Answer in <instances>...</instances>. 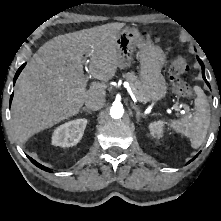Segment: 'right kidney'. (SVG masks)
Returning <instances> with one entry per match:
<instances>
[{
	"label": "right kidney",
	"instance_id": "right-kidney-1",
	"mask_svg": "<svg viewBox=\"0 0 221 221\" xmlns=\"http://www.w3.org/2000/svg\"><path fill=\"white\" fill-rule=\"evenodd\" d=\"M87 122V119L81 118L60 125L52 134V144L61 147L76 145L83 136Z\"/></svg>",
	"mask_w": 221,
	"mask_h": 221
}]
</instances>
